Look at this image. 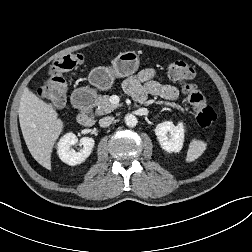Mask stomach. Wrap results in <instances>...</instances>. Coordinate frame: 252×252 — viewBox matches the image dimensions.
<instances>
[{
  "mask_svg": "<svg viewBox=\"0 0 252 252\" xmlns=\"http://www.w3.org/2000/svg\"><path fill=\"white\" fill-rule=\"evenodd\" d=\"M111 63L110 67H97L89 73L88 80L92 86L99 90L110 89L115 78L128 77L138 70L140 56L136 51H126L119 53ZM80 90L85 91L87 89L82 88Z\"/></svg>",
  "mask_w": 252,
  "mask_h": 252,
  "instance_id": "1",
  "label": "stomach"
}]
</instances>
